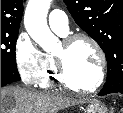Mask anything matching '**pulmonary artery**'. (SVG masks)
Instances as JSON below:
<instances>
[{"mask_svg":"<svg viewBox=\"0 0 123 113\" xmlns=\"http://www.w3.org/2000/svg\"><path fill=\"white\" fill-rule=\"evenodd\" d=\"M50 28L60 35H66L69 30L68 17L61 10H53L48 17Z\"/></svg>","mask_w":123,"mask_h":113,"instance_id":"pulmonary-artery-1","label":"pulmonary artery"}]
</instances>
